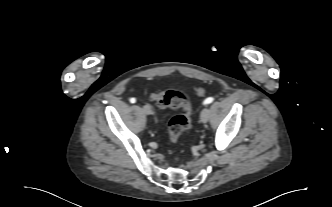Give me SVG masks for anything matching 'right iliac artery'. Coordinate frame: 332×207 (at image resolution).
<instances>
[{
    "label": "right iliac artery",
    "instance_id": "right-iliac-artery-1",
    "mask_svg": "<svg viewBox=\"0 0 332 207\" xmlns=\"http://www.w3.org/2000/svg\"><path fill=\"white\" fill-rule=\"evenodd\" d=\"M130 102H131V103H135V102H136V99H135V98H131V99H130Z\"/></svg>",
    "mask_w": 332,
    "mask_h": 207
}]
</instances>
